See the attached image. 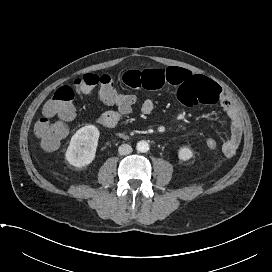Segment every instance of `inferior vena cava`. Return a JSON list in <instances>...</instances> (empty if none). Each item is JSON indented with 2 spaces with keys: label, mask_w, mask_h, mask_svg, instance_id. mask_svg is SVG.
<instances>
[{
  "label": "inferior vena cava",
  "mask_w": 272,
  "mask_h": 272,
  "mask_svg": "<svg viewBox=\"0 0 272 272\" xmlns=\"http://www.w3.org/2000/svg\"><path fill=\"white\" fill-rule=\"evenodd\" d=\"M118 152L120 155H128L132 152V147L128 144H122L119 146Z\"/></svg>",
  "instance_id": "obj_1"
}]
</instances>
